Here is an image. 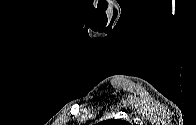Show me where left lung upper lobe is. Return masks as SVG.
I'll use <instances>...</instances> for the list:
<instances>
[{
  "mask_svg": "<svg viewBox=\"0 0 196 125\" xmlns=\"http://www.w3.org/2000/svg\"><path fill=\"white\" fill-rule=\"evenodd\" d=\"M104 125H127L129 124L126 121H122V120H115V119H109L103 122Z\"/></svg>",
  "mask_w": 196,
  "mask_h": 125,
  "instance_id": "obj_1",
  "label": "left lung upper lobe"
}]
</instances>
